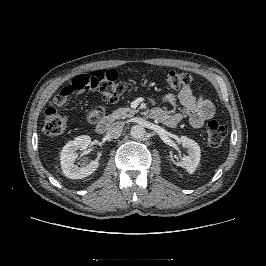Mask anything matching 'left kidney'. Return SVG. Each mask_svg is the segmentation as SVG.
<instances>
[{
    "label": "left kidney",
    "instance_id": "left-kidney-1",
    "mask_svg": "<svg viewBox=\"0 0 266 266\" xmlns=\"http://www.w3.org/2000/svg\"><path fill=\"white\" fill-rule=\"evenodd\" d=\"M180 143L188 150V156L183 157L182 162L177 163L178 166L186 169L190 174L196 170L201 157L200 146L192 139L182 136Z\"/></svg>",
    "mask_w": 266,
    "mask_h": 266
}]
</instances>
